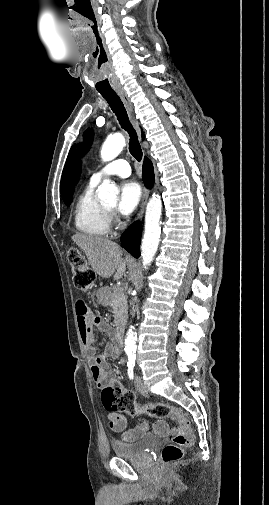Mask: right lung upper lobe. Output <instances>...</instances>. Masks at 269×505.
I'll list each match as a JSON object with an SVG mask.
<instances>
[{"instance_id": "right-lung-upper-lobe-1", "label": "right lung upper lobe", "mask_w": 269, "mask_h": 505, "mask_svg": "<svg viewBox=\"0 0 269 505\" xmlns=\"http://www.w3.org/2000/svg\"><path fill=\"white\" fill-rule=\"evenodd\" d=\"M80 171L81 169L76 160L74 147H72L67 157L62 173L61 194L63 200H68L72 198L74 185L78 180Z\"/></svg>"}]
</instances>
